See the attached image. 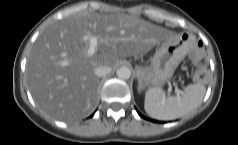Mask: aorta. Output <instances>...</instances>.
<instances>
[{"mask_svg": "<svg viewBox=\"0 0 238 145\" xmlns=\"http://www.w3.org/2000/svg\"><path fill=\"white\" fill-rule=\"evenodd\" d=\"M116 75L118 78L126 80L131 77V70L128 67L123 66L117 69Z\"/></svg>", "mask_w": 238, "mask_h": 145, "instance_id": "aorta-1", "label": "aorta"}]
</instances>
